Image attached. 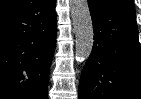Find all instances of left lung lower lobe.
Instances as JSON below:
<instances>
[{
  "label": "left lung lower lobe",
  "mask_w": 141,
  "mask_h": 99,
  "mask_svg": "<svg viewBox=\"0 0 141 99\" xmlns=\"http://www.w3.org/2000/svg\"><path fill=\"white\" fill-rule=\"evenodd\" d=\"M94 45L79 99H141V48L132 2L88 0Z\"/></svg>",
  "instance_id": "0a47b994"
}]
</instances>
